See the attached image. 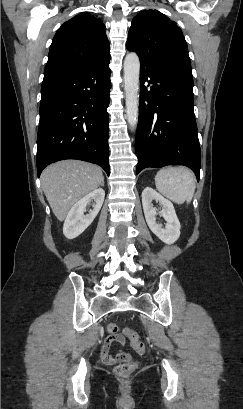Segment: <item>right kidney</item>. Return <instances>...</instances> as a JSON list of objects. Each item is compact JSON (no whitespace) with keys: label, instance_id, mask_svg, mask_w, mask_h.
<instances>
[{"label":"right kidney","instance_id":"right-kidney-1","mask_svg":"<svg viewBox=\"0 0 243 409\" xmlns=\"http://www.w3.org/2000/svg\"><path fill=\"white\" fill-rule=\"evenodd\" d=\"M104 198L105 191L98 188L84 196L71 208L63 225V234L66 238L74 239L87 229L100 211ZM93 200L95 201L93 209L89 214L84 215L87 205Z\"/></svg>","mask_w":243,"mask_h":409}]
</instances>
